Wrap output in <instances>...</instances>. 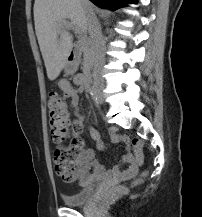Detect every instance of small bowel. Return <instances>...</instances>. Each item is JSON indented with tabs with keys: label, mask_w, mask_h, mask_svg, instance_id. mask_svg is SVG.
Returning <instances> with one entry per match:
<instances>
[{
	"label": "small bowel",
	"mask_w": 202,
	"mask_h": 217,
	"mask_svg": "<svg viewBox=\"0 0 202 217\" xmlns=\"http://www.w3.org/2000/svg\"><path fill=\"white\" fill-rule=\"evenodd\" d=\"M82 78L83 76L81 74H78L73 78V82L75 85L78 86V89H75L72 84L67 80H60L57 83V86L61 90V92L66 97L70 98V106L74 109L77 115V118L75 120L68 121V132H71V134L77 138H79L84 126L83 117L79 114L78 109L79 92L84 89L82 84ZM89 130L91 138L97 142V148L99 150H103L104 144L100 139L99 133L92 127H90ZM111 141L116 144L123 143L129 149V138L118 134L116 131L112 132ZM143 160L144 155L141 146H134V153L127 152L122 157L121 163L122 165H124V168L119 169L116 167L108 173L105 168L97 162L94 151L91 149H86L82 152L80 156V165L81 172L83 174H88L92 170L98 175H109L119 180H127L133 178L138 173V168L143 163Z\"/></svg>",
	"instance_id": "small-bowel-1"
}]
</instances>
